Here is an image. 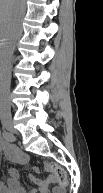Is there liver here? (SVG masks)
<instances>
[{
	"mask_svg": "<svg viewBox=\"0 0 103 193\" xmlns=\"http://www.w3.org/2000/svg\"><path fill=\"white\" fill-rule=\"evenodd\" d=\"M20 5L21 0H0V24L1 32L4 37L7 36L10 25L12 24Z\"/></svg>",
	"mask_w": 103,
	"mask_h": 193,
	"instance_id": "obj_1",
	"label": "liver"
}]
</instances>
